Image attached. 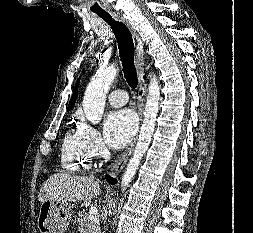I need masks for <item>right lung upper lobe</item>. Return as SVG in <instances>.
I'll return each mask as SVG.
<instances>
[{
  "label": "right lung upper lobe",
  "mask_w": 253,
  "mask_h": 233,
  "mask_svg": "<svg viewBox=\"0 0 253 233\" xmlns=\"http://www.w3.org/2000/svg\"><path fill=\"white\" fill-rule=\"evenodd\" d=\"M78 86H79V80H78V81L76 82V84H75L73 96H72V98H71V100H70V102H69L67 111L71 110L72 107L74 106L75 102H76Z\"/></svg>",
  "instance_id": "1"
}]
</instances>
